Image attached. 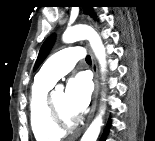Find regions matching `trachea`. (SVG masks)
I'll return each instance as SVG.
<instances>
[{"mask_svg":"<svg viewBox=\"0 0 155 141\" xmlns=\"http://www.w3.org/2000/svg\"><path fill=\"white\" fill-rule=\"evenodd\" d=\"M86 62L91 63V57L89 55L86 56Z\"/></svg>","mask_w":155,"mask_h":141,"instance_id":"trachea-1","label":"trachea"}]
</instances>
